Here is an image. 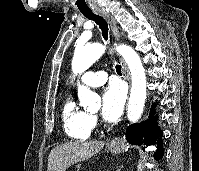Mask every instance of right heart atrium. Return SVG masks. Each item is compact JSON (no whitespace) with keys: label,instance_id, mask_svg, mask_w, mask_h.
I'll return each mask as SVG.
<instances>
[{"label":"right heart atrium","instance_id":"right-heart-atrium-1","mask_svg":"<svg viewBox=\"0 0 199 171\" xmlns=\"http://www.w3.org/2000/svg\"><path fill=\"white\" fill-rule=\"evenodd\" d=\"M91 123H92L93 126L96 125V123H97L96 116L91 115Z\"/></svg>","mask_w":199,"mask_h":171}]
</instances>
